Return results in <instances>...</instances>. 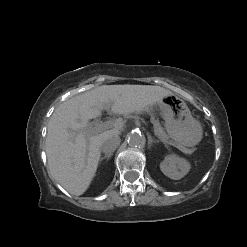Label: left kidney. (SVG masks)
I'll list each match as a JSON object with an SVG mask.
<instances>
[{
    "mask_svg": "<svg viewBox=\"0 0 247 247\" xmlns=\"http://www.w3.org/2000/svg\"><path fill=\"white\" fill-rule=\"evenodd\" d=\"M189 162L176 155H168L160 163V169L167 177L179 180L183 178L190 170Z\"/></svg>",
    "mask_w": 247,
    "mask_h": 247,
    "instance_id": "5707ae66",
    "label": "left kidney"
}]
</instances>
